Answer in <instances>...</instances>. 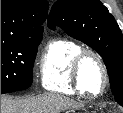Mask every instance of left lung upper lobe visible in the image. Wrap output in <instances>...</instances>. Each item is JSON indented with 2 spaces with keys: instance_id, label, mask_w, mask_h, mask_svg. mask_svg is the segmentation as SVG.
<instances>
[{
  "instance_id": "5c2ea615",
  "label": "left lung upper lobe",
  "mask_w": 123,
  "mask_h": 113,
  "mask_svg": "<svg viewBox=\"0 0 123 113\" xmlns=\"http://www.w3.org/2000/svg\"><path fill=\"white\" fill-rule=\"evenodd\" d=\"M48 26L61 27L98 52L115 100L123 106V37L108 9L99 0H58L51 8Z\"/></svg>"
}]
</instances>
